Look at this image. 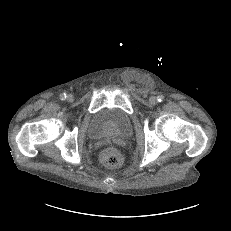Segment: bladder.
Masks as SVG:
<instances>
[{
  "mask_svg": "<svg viewBox=\"0 0 231 231\" xmlns=\"http://www.w3.org/2000/svg\"><path fill=\"white\" fill-rule=\"evenodd\" d=\"M132 129L130 116L118 108H104L91 118L87 133L92 139L104 136L125 138Z\"/></svg>",
  "mask_w": 231,
  "mask_h": 231,
  "instance_id": "1",
  "label": "bladder"
}]
</instances>
